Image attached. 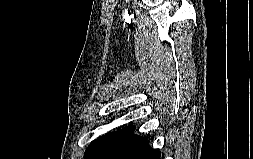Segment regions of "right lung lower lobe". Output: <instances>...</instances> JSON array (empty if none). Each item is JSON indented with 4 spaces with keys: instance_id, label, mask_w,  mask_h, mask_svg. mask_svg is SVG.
<instances>
[{
    "instance_id": "1",
    "label": "right lung lower lobe",
    "mask_w": 253,
    "mask_h": 159,
    "mask_svg": "<svg viewBox=\"0 0 253 159\" xmlns=\"http://www.w3.org/2000/svg\"><path fill=\"white\" fill-rule=\"evenodd\" d=\"M161 152L151 148L145 137L129 133L97 159H160Z\"/></svg>"
}]
</instances>
